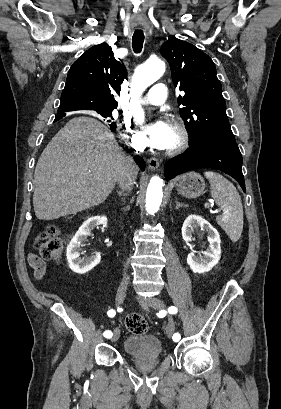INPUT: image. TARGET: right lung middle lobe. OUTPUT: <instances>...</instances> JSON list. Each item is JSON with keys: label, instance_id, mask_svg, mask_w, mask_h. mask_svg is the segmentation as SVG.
<instances>
[{"label": "right lung middle lobe", "instance_id": "obj_1", "mask_svg": "<svg viewBox=\"0 0 281 409\" xmlns=\"http://www.w3.org/2000/svg\"><path fill=\"white\" fill-rule=\"evenodd\" d=\"M97 113H99L100 115H102V116L105 117V118L111 117V118L113 119V117H112V111H104V112H97Z\"/></svg>", "mask_w": 281, "mask_h": 409}]
</instances>
